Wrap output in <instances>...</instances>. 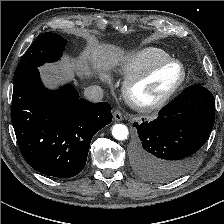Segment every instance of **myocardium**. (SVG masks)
<instances>
[{
    "instance_id": "myocardium-1",
    "label": "myocardium",
    "mask_w": 224,
    "mask_h": 224,
    "mask_svg": "<svg viewBox=\"0 0 224 224\" xmlns=\"http://www.w3.org/2000/svg\"><path fill=\"white\" fill-rule=\"evenodd\" d=\"M169 65H176L180 68V77L174 85L158 100L151 103H141L134 96L135 88L151 77L155 72ZM187 78V70L184 64L178 60L169 58L152 64L142 72L127 78L123 86V94L127 103L135 110L143 113L153 112L161 109L169 103L176 93L184 85Z\"/></svg>"
}]
</instances>
